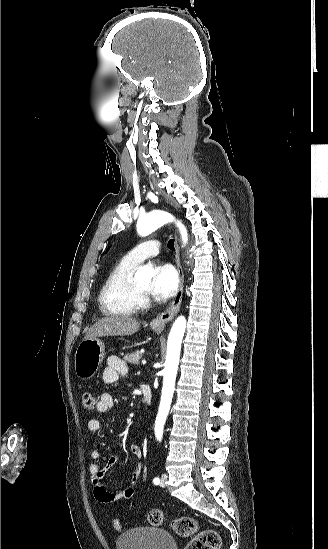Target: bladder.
Instances as JSON below:
<instances>
[{"instance_id":"1","label":"bladder","mask_w":328,"mask_h":549,"mask_svg":"<svg viewBox=\"0 0 328 549\" xmlns=\"http://www.w3.org/2000/svg\"><path fill=\"white\" fill-rule=\"evenodd\" d=\"M133 536H119L117 549H175L173 536L160 528L137 527Z\"/></svg>"}]
</instances>
